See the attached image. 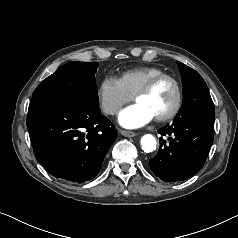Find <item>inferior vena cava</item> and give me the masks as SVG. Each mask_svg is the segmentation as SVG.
I'll return each mask as SVG.
<instances>
[{
	"instance_id": "602c4592",
	"label": "inferior vena cava",
	"mask_w": 238,
	"mask_h": 238,
	"mask_svg": "<svg viewBox=\"0 0 238 238\" xmlns=\"http://www.w3.org/2000/svg\"><path fill=\"white\" fill-rule=\"evenodd\" d=\"M118 110H119L118 107L113 106V107L106 108L105 112L108 113V114H114V113H117Z\"/></svg>"
}]
</instances>
